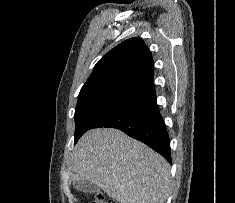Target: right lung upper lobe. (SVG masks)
Returning <instances> with one entry per match:
<instances>
[{
  "label": "right lung upper lobe",
  "instance_id": "cb5924a9",
  "mask_svg": "<svg viewBox=\"0 0 235 203\" xmlns=\"http://www.w3.org/2000/svg\"><path fill=\"white\" fill-rule=\"evenodd\" d=\"M154 69L150 50L140 38L123 41L104 55L82 89L95 85L123 82L151 88Z\"/></svg>",
  "mask_w": 235,
  "mask_h": 203
}]
</instances>
